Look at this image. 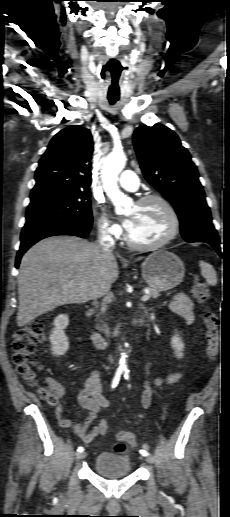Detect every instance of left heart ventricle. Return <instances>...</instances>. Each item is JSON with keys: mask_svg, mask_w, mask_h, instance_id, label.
Masks as SVG:
<instances>
[{"mask_svg": "<svg viewBox=\"0 0 230 517\" xmlns=\"http://www.w3.org/2000/svg\"><path fill=\"white\" fill-rule=\"evenodd\" d=\"M126 214L132 219L128 232L137 242L151 243L158 241L169 230V216L158 202L154 201L142 206L134 205Z\"/></svg>", "mask_w": 230, "mask_h": 517, "instance_id": "1", "label": "left heart ventricle"}]
</instances>
